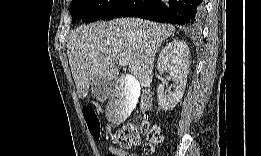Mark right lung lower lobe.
<instances>
[{
  "label": "right lung lower lobe",
  "mask_w": 261,
  "mask_h": 156,
  "mask_svg": "<svg viewBox=\"0 0 261 156\" xmlns=\"http://www.w3.org/2000/svg\"><path fill=\"white\" fill-rule=\"evenodd\" d=\"M202 13V0H119L102 19L133 16L194 28L199 25Z\"/></svg>",
  "instance_id": "1"
}]
</instances>
